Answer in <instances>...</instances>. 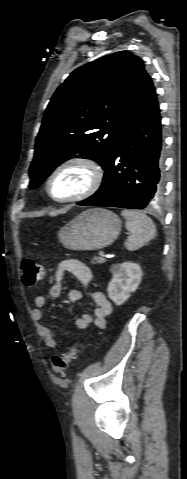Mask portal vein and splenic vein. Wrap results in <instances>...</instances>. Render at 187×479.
I'll return each mask as SVG.
<instances>
[{
  "label": "portal vein and splenic vein",
  "instance_id": "1",
  "mask_svg": "<svg viewBox=\"0 0 187 479\" xmlns=\"http://www.w3.org/2000/svg\"><path fill=\"white\" fill-rule=\"evenodd\" d=\"M99 255H100V257L103 258V257H105V252H104V251H100V252H99Z\"/></svg>",
  "mask_w": 187,
  "mask_h": 479
}]
</instances>
